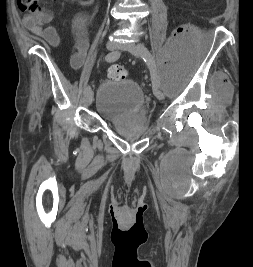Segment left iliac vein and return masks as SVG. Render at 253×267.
<instances>
[{"label":"left iliac vein","mask_w":253,"mask_h":267,"mask_svg":"<svg viewBox=\"0 0 253 267\" xmlns=\"http://www.w3.org/2000/svg\"><path fill=\"white\" fill-rule=\"evenodd\" d=\"M121 48H123L125 51H128L129 53H131L132 55H134L136 57L141 56V53L138 50L137 46L132 42L122 44ZM146 52H147L148 56H150L151 58L154 59L153 55L150 53V51L148 49H147ZM153 92H154V95L159 100H163L164 99V93L160 89H158L157 87H155L153 89Z\"/></svg>","instance_id":"1"}]
</instances>
